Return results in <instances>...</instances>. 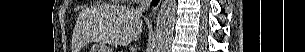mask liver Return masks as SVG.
<instances>
[{
    "instance_id": "1",
    "label": "liver",
    "mask_w": 305,
    "mask_h": 52,
    "mask_svg": "<svg viewBox=\"0 0 305 52\" xmlns=\"http://www.w3.org/2000/svg\"><path fill=\"white\" fill-rule=\"evenodd\" d=\"M141 12L122 5H105L86 11L84 20L85 37L110 45H128L139 39L142 32Z\"/></svg>"
}]
</instances>
